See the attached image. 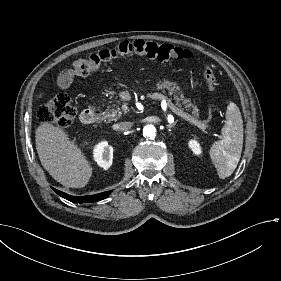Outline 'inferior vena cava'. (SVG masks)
Returning a JSON list of instances; mask_svg holds the SVG:
<instances>
[{
    "label": "inferior vena cava",
    "instance_id": "1",
    "mask_svg": "<svg viewBox=\"0 0 281 281\" xmlns=\"http://www.w3.org/2000/svg\"><path fill=\"white\" fill-rule=\"evenodd\" d=\"M130 129V125L126 124V123H120L119 124V130L120 131H126Z\"/></svg>",
    "mask_w": 281,
    "mask_h": 281
}]
</instances>
